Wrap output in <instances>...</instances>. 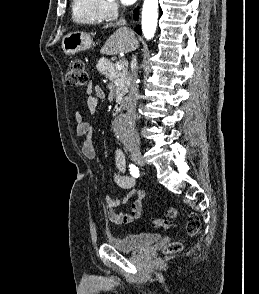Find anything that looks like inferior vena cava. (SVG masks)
Segmentation results:
<instances>
[{
	"label": "inferior vena cava",
	"instance_id": "1",
	"mask_svg": "<svg viewBox=\"0 0 259 294\" xmlns=\"http://www.w3.org/2000/svg\"><path fill=\"white\" fill-rule=\"evenodd\" d=\"M122 29H126V21L123 17H120L119 21L117 22ZM138 102V84H137V59L134 55L131 61V73L129 77V98L127 104V115L128 118L134 123L137 119L136 108ZM133 143L139 145V138L136 134H134Z\"/></svg>",
	"mask_w": 259,
	"mask_h": 294
}]
</instances>
